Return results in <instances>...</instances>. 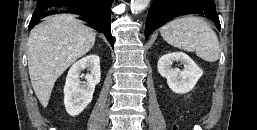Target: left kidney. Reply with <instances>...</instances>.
<instances>
[{"instance_id":"left-kidney-1","label":"left kidney","mask_w":257,"mask_h":130,"mask_svg":"<svg viewBox=\"0 0 257 130\" xmlns=\"http://www.w3.org/2000/svg\"><path fill=\"white\" fill-rule=\"evenodd\" d=\"M179 61L184 69L173 68L172 64ZM158 71L167 80L169 88L178 94L190 92L203 75L201 68L185 53L173 52L161 56L158 61Z\"/></svg>"}]
</instances>
